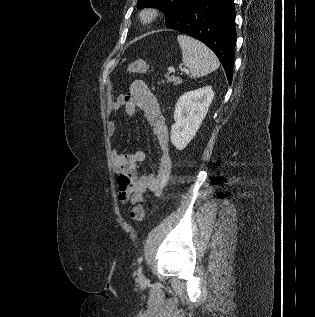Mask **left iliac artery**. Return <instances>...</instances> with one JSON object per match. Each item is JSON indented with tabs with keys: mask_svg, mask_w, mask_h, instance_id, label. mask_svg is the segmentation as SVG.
<instances>
[{
	"mask_svg": "<svg viewBox=\"0 0 315 317\" xmlns=\"http://www.w3.org/2000/svg\"><path fill=\"white\" fill-rule=\"evenodd\" d=\"M142 260H143V258L140 257V258L138 259V262L141 263Z\"/></svg>",
	"mask_w": 315,
	"mask_h": 317,
	"instance_id": "1",
	"label": "left iliac artery"
}]
</instances>
